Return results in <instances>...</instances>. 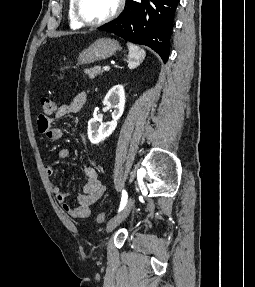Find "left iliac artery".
<instances>
[{
  "label": "left iliac artery",
  "mask_w": 255,
  "mask_h": 287,
  "mask_svg": "<svg viewBox=\"0 0 255 287\" xmlns=\"http://www.w3.org/2000/svg\"><path fill=\"white\" fill-rule=\"evenodd\" d=\"M127 198H128L127 192H126V190H123L119 211H121L124 208V206L126 205Z\"/></svg>",
  "instance_id": "obj_1"
}]
</instances>
